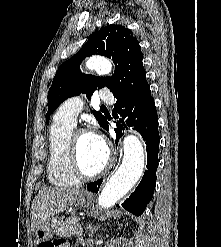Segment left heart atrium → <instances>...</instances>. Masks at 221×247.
Masks as SVG:
<instances>
[{
    "instance_id": "left-heart-atrium-1",
    "label": "left heart atrium",
    "mask_w": 221,
    "mask_h": 247,
    "mask_svg": "<svg viewBox=\"0 0 221 247\" xmlns=\"http://www.w3.org/2000/svg\"><path fill=\"white\" fill-rule=\"evenodd\" d=\"M90 134L95 138L96 141H98L101 144H104V141L100 135H98L96 133H92V132Z\"/></svg>"
}]
</instances>
